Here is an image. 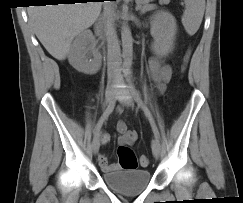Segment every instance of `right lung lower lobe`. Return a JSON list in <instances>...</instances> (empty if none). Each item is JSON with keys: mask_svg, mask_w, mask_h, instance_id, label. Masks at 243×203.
I'll use <instances>...</instances> for the list:
<instances>
[{"mask_svg": "<svg viewBox=\"0 0 243 203\" xmlns=\"http://www.w3.org/2000/svg\"><path fill=\"white\" fill-rule=\"evenodd\" d=\"M65 1H69V0H65ZM99 1H104V0H99ZM111 1H116V0H111ZM66 3H72V2H66Z\"/></svg>", "mask_w": 243, "mask_h": 203, "instance_id": "1", "label": "right lung lower lobe"}]
</instances>
